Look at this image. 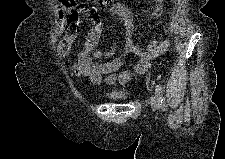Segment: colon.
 Returning a JSON list of instances; mask_svg holds the SVG:
<instances>
[{
  "label": "colon",
  "instance_id": "colon-1",
  "mask_svg": "<svg viewBox=\"0 0 225 159\" xmlns=\"http://www.w3.org/2000/svg\"><path fill=\"white\" fill-rule=\"evenodd\" d=\"M58 1L64 5H69V4L73 3L74 0H58ZM95 1L107 3V2H111L113 0H95Z\"/></svg>",
  "mask_w": 225,
  "mask_h": 159
}]
</instances>
